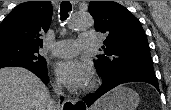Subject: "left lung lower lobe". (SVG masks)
<instances>
[{
	"label": "left lung lower lobe",
	"instance_id": "obj_1",
	"mask_svg": "<svg viewBox=\"0 0 171 110\" xmlns=\"http://www.w3.org/2000/svg\"><path fill=\"white\" fill-rule=\"evenodd\" d=\"M137 81L149 83L159 91L158 81L154 70L127 69L102 78V85L100 88L94 94L84 99L85 105L89 107L103 94L120 84Z\"/></svg>",
	"mask_w": 171,
	"mask_h": 110
}]
</instances>
